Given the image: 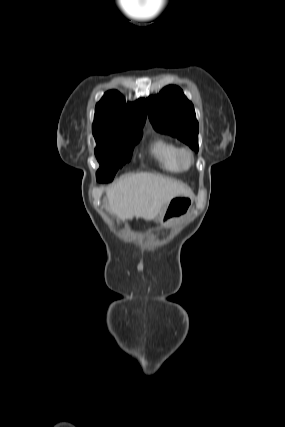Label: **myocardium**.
<instances>
[{
    "mask_svg": "<svg viewBox=\"0 0 285 427\" xmlns=\"http://www.w3.org/2000/svg\"><path fill=\"white\" fill-rule=\"evenodd\" d=\"M177 159L182 170H188L194 164V154L191 149L187 147L179 148Z\"/></svg>",
    "mask_w": 285,
    "mask_h": 427,
    "instance_id": "obj_1",
    "label": "myocardium"
}]
</instances>
